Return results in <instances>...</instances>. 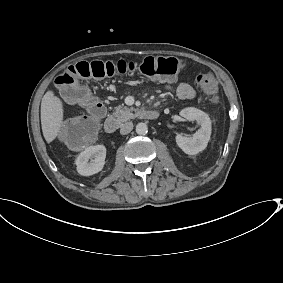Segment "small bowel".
I'll return each mask as SVG.
<instances>
[{
	"instance_id": "1",
	"label": "small bowel",
	"mask_w": 283,
	"mask_h": 283,
	"mask_svg": "<svg viewBox=\"0 0 283 283\" xmlns=\"http://www.w3.org/2000/svg\"><path fill=\"white\" fill-rule=\"evenodd\" d=\"M166 89L169 91H174L182 100L191 101L196 97L194 88L187 83H180L176 86L167 85Z\"/></svg>"
}]
</instances>
